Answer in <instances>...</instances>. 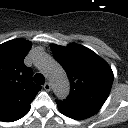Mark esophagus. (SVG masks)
<instances>
[{
	"instance_id": "obj_1",
	"label": "esophagus",
	"mask_w": 128,
	"mask_h": 128,
	"mask_svg": "<svg viewBox=\"0 0 128 128\" xmlns=\"http://www.w3.org/2000/svg\"><path fill=\"white\" fill-rule=\"evenodd\" d=\"M43 88L46 90V91H50L51 90V85L49 82H46L43 86Z\"/></svg>"
}]
</instances>
